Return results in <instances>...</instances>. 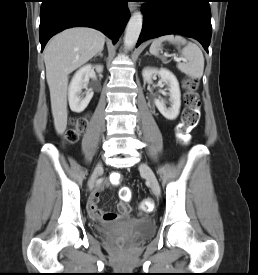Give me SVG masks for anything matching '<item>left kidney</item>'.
Wrapping results in <instances>:
<instances>
[{
  "label": "left kidney",
  "mask_w": 258,
  "mask_h": 275,
  "mask_svg": "<svg viewBox=\"0 0 258 275\" xmlns=\"http://www.w3.org/2000/svg\"><path fill=\"white\" fill-rule=\"evenodd\" d=\"M159 75L161 80L168 86L170 93V107H166V102L163 99H155L154 103L159 112L168 120H174L177 118L180 112L181 106V93L177 78L168 69L161 68H145L142 72L144 81L151 82L153 75Z\"/></svg>",
  "instance_id": "5707ae66"
}]
</instances>
